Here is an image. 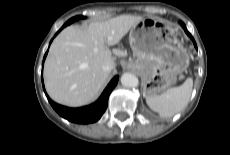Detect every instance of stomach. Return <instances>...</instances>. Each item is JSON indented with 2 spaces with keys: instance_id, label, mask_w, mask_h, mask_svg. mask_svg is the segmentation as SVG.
Listing matches in <instances>:
<instances>
[{
  "instance_id": "0dacf381",
  "label": "stomach",
  "mask_w": 230,
  "mask_h": 155,
  "mask_svg": "<svg viewBox=\"0 0 230 155\" xmlns=\"http://www.w3.org/2000/svg\"><path fill=\"white\" fill-rule=\"evenodd\" d=\"M130 46L136 67L144 78L146 97L158 95L175 83L186 70L189 55L170 23L154 17L142 19L131 28Z\"/></svg>"
}]
</instances>
